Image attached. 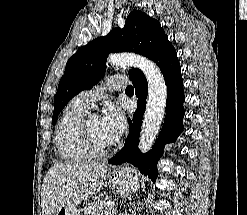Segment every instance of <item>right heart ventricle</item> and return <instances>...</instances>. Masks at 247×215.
Returning <instances> with one entry per match:
<instances>
[{"instance_id":"obj_1","label":"right heart ventricle","mask_w":247,"mask_h":215,"mask_svg":"<svg viewBox=\"0 0 247 215\" xmlns=\"http://www.w3.org/2000/svg\"><path fill=\"white\" fill-rule=\"evenodd\" d=\"M87 110L71 101L64 109L55 131V143L60 157L68 163H80L92 156L85 149L79 132V126Z\"/></svg>"}]
</instances>
